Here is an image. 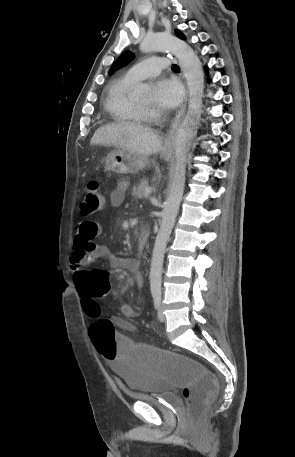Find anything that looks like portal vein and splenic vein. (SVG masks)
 <instances>
[{
    "mask_svg": "<svg viewBox=\"0 0 295 457\" xmlns=\"http://www.w3.org/2000/svg\"><path fill=\"white\" fill-rule=\"evenodd\" d=\"M151 191H152L151 187H146L144 190V196H146V197L149 196Z\"/></svg>",
    "mask_w": 295,
    "mask_h": 457,
    "instance_id": "18ae733b",
    "label": "portal vein and splenic vein"
}]
</instances>
